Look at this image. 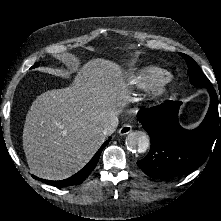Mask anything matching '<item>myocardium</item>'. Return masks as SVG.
Here are the masks:
<instances>
[{
	"instance_id": "1",
	"label": "myocardium",
	"mask_w": 221,
	"mask_h": 221,
	"mask_svg": "<svg viewBox=\"0 0 221 221\" xmlns=\"http://www.w3.org/2000/svg\"><path fill=\"white\" fill-rule=\"evenodd\" d=\"M165 83H158L152 88L151 96L152 98H159L161 97L165 92Z\"/></svg>"
}]
</instances>
